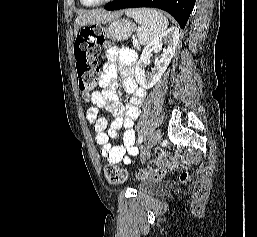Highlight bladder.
<instances>
[{"label": "bladder", "instance_id": "1", "mask_svg": "<svg viewBox=\"0 0 257 237\" xmlns=\"http://www.w3.org/2000/svg\"><path fill=\"white\" fill-rule=\"evenodd\" d=\"M137 188L145 193H157L160 191L159 184L155 180H144L138 184Z\"/></svg>", "mask_w": 257, "mask_h": 237}]
</instances>
